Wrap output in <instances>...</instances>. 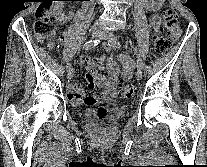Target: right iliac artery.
<instances>
[{
  "label": "right iliac artery",
  "mask_w": 207,
  "mask_h": 167,
  "mask_svg": "<svg viewBox=\"0 0 207 167\" xmlns=\"http://www.w3.org/2000/svg\"><path fill=\"white\" fill-rule=\"evenodd\" d=\"M100 43V39H95V40H90L87 41L84 45H83V49L85 50H89L94 48L95 46H97ZM71 67V64L68 63L67 64V69H69Z\"/></svg>",
  "instance_id": "1"
}]
</instances>
